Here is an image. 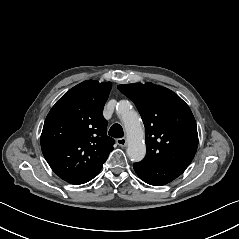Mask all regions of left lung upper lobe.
<instances>
[{
    "label": "left lung upper lobe",
    "mask_w": 239,
    "mask_h": 239,
    "mask_svg": "<svg viewBox=\"0 0 239 239\" xmlns=\"http://www.w3.org/2000/svg\"><path fill=\"white\" fill-rule=\"evenodd\" d=\"M145 125V164L188 166L198 147L197 125L188 105L173 91L152 83L118 85Z\"/></svg>",
    "instance_id": "1"
}]
</instances>
